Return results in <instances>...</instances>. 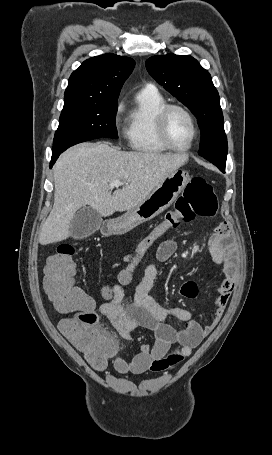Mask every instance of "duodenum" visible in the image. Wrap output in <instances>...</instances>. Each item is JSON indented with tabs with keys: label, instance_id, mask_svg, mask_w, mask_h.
Segmentation results:
<instances>
[{
	"label": "duodenum",
	"instance_id": "410a0bca",
	"mask_svg": "<svg viewBox=\"0 0 272 455\" xmlns=\"http://www.w3.org/2000/svg\"><path fill=\"white\" fill-rule=\"evenodd\" d=\"M105 231H106V232H110V228L107 227V228L105 229Z\"/></svg>",
	"mask_w": 272,
	"mask_h": 455
}]
</instances>
